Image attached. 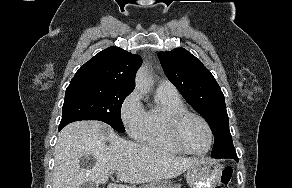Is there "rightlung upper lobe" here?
Masks as SVG:
<instances>
[{"mask_svg": "<svg viewBox=\"0 0 292 188\" xmlns=\"http://www.w3.org/2000/svg\"><path fill=\"white\" fill-rule=\"evenodd\" d=\"M142 64L139 55L119 47H108L76 72L71 82H94L133 91L135 74Z\"/></svg>", "mask_w": 292, "mask_h": 188, "instance_id": "cb5924a9", "label": "right lung upper lobe"}]
</instances>
